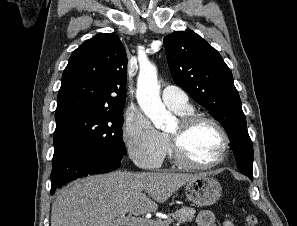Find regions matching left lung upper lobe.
<instances>
[{
    "instance_id": "left-lung-upper-lobe-1",
    "label": "left lung upper lobe",
    "mask_w": 297,
    "mask_h": 226,
    "mask_svg": "<svg viewBox=\"0 0 297 226\" xmlns=\"http://www.w3.org/2000/svg\"><path fill=\"white\" fill-rule=\"evenodd\" d=\"M164 44L174 81L221 123L238 169L253 174V144L241 100L219 52L192 30L169 34Z\"/></svg>"
}]
</instances>
